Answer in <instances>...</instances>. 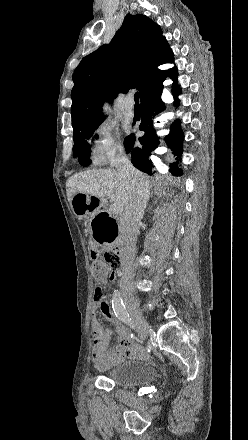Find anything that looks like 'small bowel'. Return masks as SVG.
<instances>
[{
  "mask_svg": "<svg viewBox=\"0 0 248 440\" xmlns=\"http://www.w3.org/2000/svg\"><path fill=\"white\" fill-rule=\"evenodd\" d=\"M120 270L119 267H112V271L109 272L110 276L107 279L113 281L116 272ZM98 310H101L105 318L114 325L118 335L117 344L111 348H109V342L112 332L103 328L101 323L97 320ZM91 329L93 335L92 361L97 369L103 370L126 359L140 358L144 355L143 349L132 340L127 328L115 315L105 294L101 300L94 298V303L91 308Z\"/></svg>",
  "mask_w": 248,
  "mask_h": 440,
  "instance_id": "c3829d8e",
  "label": "small bowel"
}]
</instances>
